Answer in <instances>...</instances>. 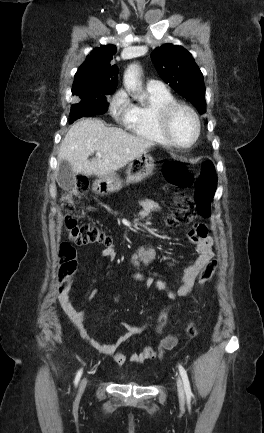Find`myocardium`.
Wrapping results in <instances>:
<instances>
[{"label": "myocardium", "instance_id": "f54148a6", "mask_svg": "<svg viewBox=\"0 0 264 433\" xmlns=\"http://www.w3.org/2000/svg\"><path fill=\"white\" fill-rule=\"evenodd\" d=\"M179 110H185L188 113H190V115L194 119L195 126H196L194 137L187 144H180L179 142H177L172 136L170 131V124H171L172 117ZM158 123L160 126V130L163 136L165 137L166 141L168 142V144L176 148H188L193 146L198 141L201 134V121L199 115L191 106L183 102L175 101L173 103L163 106L158 111Z\"/></svg>", "mask_w": 264, "mask_h": 433}]
</instances>
